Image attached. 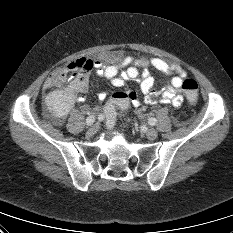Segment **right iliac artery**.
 <instances>
[{
  "mask_svg": "<svg viewBox=\"0 0 233 233\" xmlns=\"http://www.w3.org/2000/svg\"><path fill=\"white\" fill-rule=\"evenodd\" d=\"M98 119L102 121L104 119V115H99ZM95 122V117L94 116H89L86 119V125L90 126Z\"/></svg>",
  "mask_w": 233,
  "mask_h": 233,
  "instance_id": "82829eb1",
  "label": "right iliac artery"
}]
</instances>
